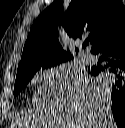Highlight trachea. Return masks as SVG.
Wrapping results in <instances>:
<instances>
[{"instance_id":"3493384b","label":"trachea","mask_w":125,"mask_h":128,"mask_svg":"<svg viewBox=\"0 0 125 128\" xmlns=\"http://www.w3.org/2000/svg\"><path fill=\"white\" fill-rule=\"evenodd\" d=\"M87 44H88V43H84V44H83V48H85V47L87 46Z\"/></svg>"}]
</instances>
